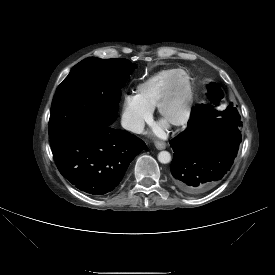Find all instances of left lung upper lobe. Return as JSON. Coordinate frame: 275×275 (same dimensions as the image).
I'll return each mask as SVG.
<instances>
[{"label":"left lung upper lobe","instance_id":"1","mask_svg":"<svg viewBox=\"0 0 275 275\" xmlns=\"http://www.w3.org/2000/svg\"><path fill=\"white\" fill-rule=\"evenodd\" d=\"M208 92V97L214 104H217L222 98L221 90L215 83L208 86ZM204 121H217L233 127H241L240 115L237 108L234 107L232 103L223 111H218L205 104L197 105L192 110V118L189 124Z\"/></svg>","mask_w":275,"mask_h":275}]
</instances>
